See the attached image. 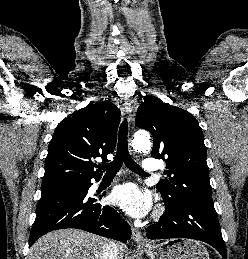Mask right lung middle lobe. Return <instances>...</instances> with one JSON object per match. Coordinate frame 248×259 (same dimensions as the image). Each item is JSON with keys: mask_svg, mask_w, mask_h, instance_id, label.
I'll return each instance as SVG.
<instances>
[{"mask_svg": "<svg viewBox=\"0 0 248 259\" xmlns=\"http://www.w3.org/2000/svg\"><path fill=\"white\" fill-rule=\"evenodd\" d=\"M88 184H90V181L64 182V183H58V184L41 185V190L55 188V187H64V186L84 187Z\"/></svg>", "mask_w": 248, "mask_h": 259, "instance_id": "right-lung-middle-lobe-1", "label": "right lung middle lobe"}]
</instances>
